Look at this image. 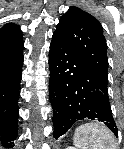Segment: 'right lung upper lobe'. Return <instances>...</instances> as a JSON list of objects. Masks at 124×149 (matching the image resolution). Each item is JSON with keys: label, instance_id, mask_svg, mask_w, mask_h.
Returning <instances> with one entry per match:
<instances>
[{"label": "right lung upper lobe", "instance_id": "1", "mask_svg": "<svg viewBox=\"0 0 124 149\" xmlns=\"http://www.w3.org/2000/svg\"><path fill=\"white\" fill-rule=\"evenodd\" d=\"M22 38V32L17 25L6 24L0 29V43L12 42Z\"/></svg>", "mask_w": 124, "mask_h": 149}]
</instances>
